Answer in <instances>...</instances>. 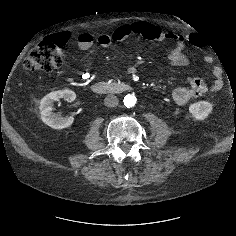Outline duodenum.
Wrapping results in <instances>:
<instances>
[{"label":"duodenum","instance_id":"1","mask_svg":"<svg viewBox=\"0 0 236 236\" xmlns=\"http://www.w3.org/2000/svg\"><path fill=\"white\" fill-rule=\"evenodd\" d=\"M131 88L132 87L129 84L124 82L107 83L104 81H97L91 86L92 91L99 95L123 93L131 90Z\"/></svg>","mask_w":236,"mask_h":236}]
</instances>
